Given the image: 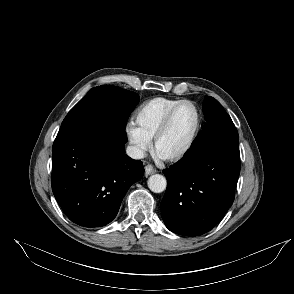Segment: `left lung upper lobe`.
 Segmentation results:
<instances>
[{"label":"left lung upper lobe","mask_w":294,"mask_h":294,"mask_svg":"<svg viewBox=\"0 0 294 294\" xmlns=\"http://www.w3.org/2000/svg\"><path fill=\"white\" fill-rule=\"evenodd\" d=\"M202 110L206 120L203 130L218 126H234V123L225 109L213 97L205 98Z\"/></svg>","instance_id":"5c2ea615"}]
</instances>
